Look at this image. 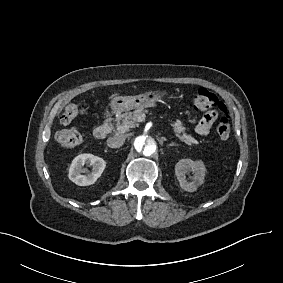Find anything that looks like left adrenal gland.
<instances>
[{"label":"left adrenal gland","instance_id":"obj_1","mask_svg":"<svg viewBox=\"0 0 283 283\" xmlns=\"http://www.w3.org/2000/svg\"><path fill=\"white\" fill-rule=\"evenodd\" d=\"M171 146H179V144H175V143L168 144V147H171Z\"/></svg>","mask_w":283,"mask_h":283}]
</instances>
